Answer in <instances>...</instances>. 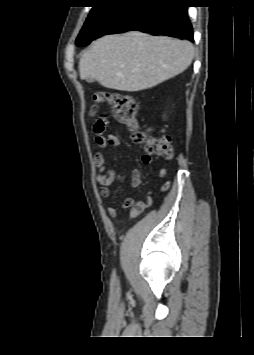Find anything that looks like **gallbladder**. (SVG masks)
Instances as JSON below:
<instances>
[{"label": "gallbladder", "mask_w": 254, "mask_h": 355, "mask_svg": "<svg viewBox=\"0 0 254 355\" xmlns=\"http://www.w3.org/2000/svg\"><path fill=\"white\" fill-rule=\"evenodd\" d=\"M86 81H87L88 83H91V82H93V78H87Z\"/></svg>", "instance_id": "obj_1"}]
</instances>
